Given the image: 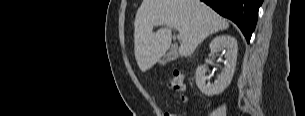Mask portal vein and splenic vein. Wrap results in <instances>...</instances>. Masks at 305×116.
Instances as JSON below:
<instances>
[{
  "label": "portal vein and splenic vein",
  "mask_w": 305,
  "mask_h": 116,
  "mask_svg": "<svg viewBox=\"0 0 305 116\" xmlns=\"http://www.w3.org/2000/svg\"><path fill=\"white\" fill-rule=\"evenodd\" d=\"M159 24H160V25H163V22H160ZM177 38H178V39H182V35L179 34V35L177 36Z\"/></svg>",
  "instance_id": "portal-vein-and-splenic-vein-1"
}]
</instances>
